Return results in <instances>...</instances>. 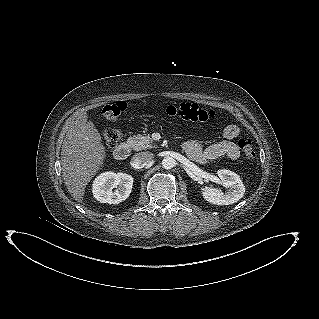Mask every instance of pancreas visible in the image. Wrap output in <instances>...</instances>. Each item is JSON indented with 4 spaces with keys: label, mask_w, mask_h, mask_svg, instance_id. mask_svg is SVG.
<instances>
[{
    "label": "pancreas",
    "mask_w": 319,
    "mask_h": 319,
    "mask_svg": "<svg viewBox=\"0 0 319 319\" xmlns=\"http://www.w3.org/2000/svg\"><path fill=\"white\" fill-rule=\"evenodd\" d=\"M128 142L135 151L152 148L150 144L152 142V138L149 135L137 134L129 137Z\"/></svg>",
    "instance_id": "obj_1"
}]
</instances>
